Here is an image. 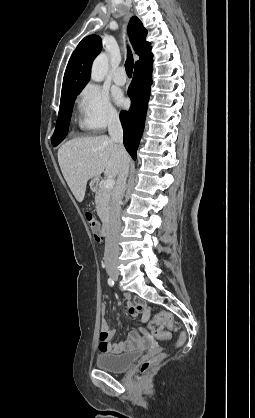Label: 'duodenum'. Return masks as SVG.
Returning a JSON list of instances; mask_svg holds the SVG:
<instances>
[{"label":"duodenum","instance_id":"1","mask_svg":"<svg viewBox=\"0 0 255 418\" xmlns=\"http://www.w3.org/2000/svg\"><path fill=\"white\" fill-rule=\"evenodd\" d=\"M98 186H99V182L98 181H94L92 183V188L93 189H96ZM100 231H101V235L102 236L108 235V233L110 231V223H109V219L108 218H105L103 220Z\"/></svg>","mask_w":255,"mask_h":418}]
</instances>
